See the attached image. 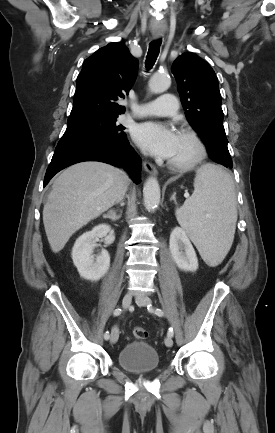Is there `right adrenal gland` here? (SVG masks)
<instances>
[{"instance_id":"2a0ac1e0","label":"right adrenal gland","mask_w":275,"mask_h":433,"mask_svg":"<svg viewBox=\"0 0 275 433\" xmlns=\"http://www.w3.org/2000/svg\"><path fill=\"white\" fill-rule=\"evenodd\" d=\"M123 205L124 204L122 203L121 206H123ZM121 216H122V211H120V214L117 215L114 210H110L107 214L103 215L104 218H109L113 222H115L116 220H119L121 218Z\"/></svg>"}]
</instances>
